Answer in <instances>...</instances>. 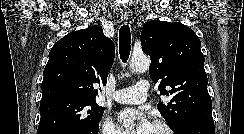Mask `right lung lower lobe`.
Segmentation results:
<instances>
[{"label":"right lung lower lobe","instance_id":"1","mask_svg":"<svg viewBox=\"0 0 244 134\" xmlns=\"http://www.w3.org/2000/svg\"><path fill=\"white\" fill-rule=\"evenodd\" d=\"M47 134H98V130L96 131H84L75 128H60L52 130Z\"/></svg>","mask_w":244,"mask_h":134}]
</instances>
